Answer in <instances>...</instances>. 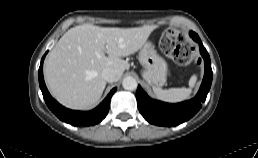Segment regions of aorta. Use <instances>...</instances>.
Here are the masks:
<instances>
[{
	"label": "aorta",
	"mask_w": 258,
	"mask_h": 158,
	"mask_svg": "<svg viewBox=\"0 0 258 158\" xmlns=\"http://www.w3.org/2000/svg\"><path fill=\"white\" fill-rule=\"evenodd\" d=\"M122 86L126 90H136L137 88V81L133 77H125L122 82Z\"/></svg>",
	"instance_id": "762f6f07"
}]
</instances>
